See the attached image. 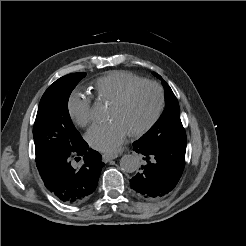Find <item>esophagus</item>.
<instances>
[{"instance_id":"1","label":"esophagus","mask_w":246,"mask_h":246,"mask_svg":"<svg viewBox=\"0 0 246 246\" xmlns=\"http://www.w3.org/2000/svg\"><path fill=\"white\" fill-rule=\"evenodd\" d=\"M117 157H118L117 154L104 153V154L102 155V159H103V161H104L105 163H107V162H109L110 160L115 159V158H117Z\"/></svg>"}]
</instances>
